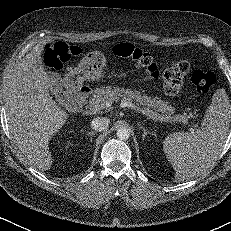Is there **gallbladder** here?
I'll use <instances>...</instances> for the list:
<instances>
[{
	"instance_id": "gallbladder-1",
	"label": "gallbladder",
	"mask_w": 231,
	"mask_h": 231,
	"mask_svg": "<svg viewBox=\"0 0 231 231\" xmlns=\"http://www.w3.org/2000/svg\"><path fill=\"white\" fill-rule=\"evenodd\" d=\"M48 78L50 80V87L52 91L59 92L62 90V78L58 73L50 72L48 73Z\"/></svg>"
}]
</instances>
